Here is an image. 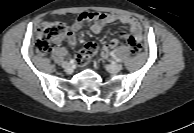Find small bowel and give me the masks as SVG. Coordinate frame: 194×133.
Returning <instances> with one entry per match:
<instances>
[{
	"instance_id": "small-bowel-1",
	"label": "small bowel",
	"mask_w": 194,
	"mask_h": 133,
	"mask_svg": "<svg viewBox=\"0 0 194 133\" xmlns=\"http://www.w3.org/2000/svg\"><path fill=\"white\" fill-rule=\"evenodd\" d=\"M85 22L91 23V31L94 34H99L107 24L120 22L129 26V32L122 33V38L127 41H129L130 37H134L139 41L142 38V27L138 20L132 16L101 12H83L72 22L69 31L65 35L64 39L68 46H74L77 43V33L81 30ZM118 44L119 40L116 38L104 43L101 48V54L104 57L109 56Z\"/></svg>"
}]
</instances>
